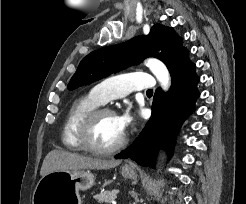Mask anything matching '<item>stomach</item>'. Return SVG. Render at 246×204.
<instances>
[{
    "label": "stomach",
    "mask_w": 246,
    "mask_h": 204,
    "mask_svg": "<svg viewBox=\"0 0 246 204\" xmlns=\"http://www.w3.org/2000/svg\"><path fill=\"white\" fill-rule=\"evenodd\" d=\"M126 179H137L134 168L123 167ZM95 184V176L89 170L54 171L37 183L32 204H81L80 190H88Z\"/></svg>",
    "instance_id": "1"
}]
</instances>
